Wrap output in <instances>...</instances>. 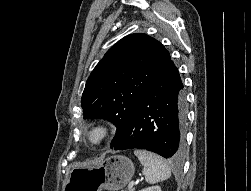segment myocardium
I'll use <instances>...</instances> for the list:
<instances>
[{
  "label": "myocardium",
  "mask_w": 251,
  "mask_h": 191,
  "mask_svg": "<svg viewBox=\"0 0 251 191\" xmlns=\"http://www.w3.org/2000/svg\"><path fill=\"white\" fill-rule=\"evenodd\" d=\"M90 133H97L100 135V142L97 145L91 144L86 140V136ZM82 142L91 151L102 152L110 144L113 136V128L109 121L105 119H98L89 123L81 132Z\"/></svg>",
  "instance_id": "obj_1"
}]
</instances>
